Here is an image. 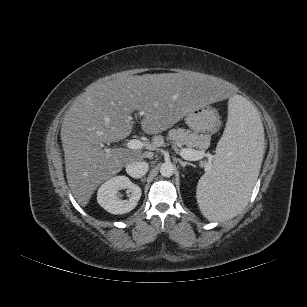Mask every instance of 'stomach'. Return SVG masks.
I'll use <instances>...</instances> for the list:
<instances>
[{
    "label": "stomach",
    "instance_id": "0dacf381",
    "mask_svg": "<svg viewBox=\"0 0 307 307\" xmlns=\"http://www.w3.org/2000/svg\"><path fill=\"white\" fill-rule=\"evenodd\" d=\"M184 120L195 132L214 133L220 125L218 112L209 106L195 108L185 116Z\"/></svg>",
    "mask_w": 307,
    "mask_h": 307
}]
</instances>
